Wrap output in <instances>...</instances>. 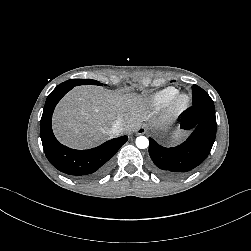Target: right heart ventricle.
<instances>
[{
	"instance_id": "obj_1",
	"label": "right heart ventricle",
	"mask_w": 251,
	"mask_h": 251,
	"mask_svg": "<svg viewBox=\"0 0 251 251\" xmlns=\"http://www.w3.org/2000/svg\"><path fill=\"white\" fill-rule=\"evenodd\" d=\"M176 93L174 87L165 88L155 93L151 98V104L155 107H161L165 105L169 99Z\"/></svg>"
}]
</instances>
